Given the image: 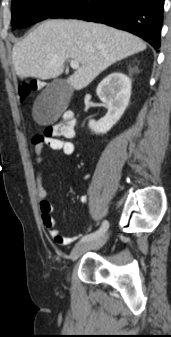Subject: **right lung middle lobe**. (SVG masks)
I'll return each instance as SVG.
<instances>
[{"instance_id": "right-lung-middle-lobe-1", "label": "right lung middle lobe", "mask_w": 171, "mask_h": 337, "mask_svg": "<svg viewBox=\"0 0 171 337\" xmlns=\"http://www.w3.org/2000/svg\"><path fill=\"white\" fill-rule=\"evenodd\" d=\"M73 0H12L11 25L24 28L49 18Z\"/></svg>"}]
</instances>
